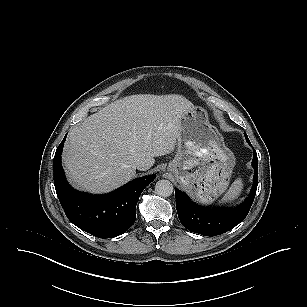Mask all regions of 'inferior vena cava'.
Here are the masks:
<instances>
[{"mask_svg":"<svg viewBox=\"0 0 307 307\" xmlns=\"http://www.w3.org/2000/svg\"><path fill=\"white\" fill-rule=\"evenodd\" d=\"M134 167L139 170H147L149 167L144 161H136Z\"/></svg>","mask_w":307,"mask_h":307,"instance_id":"1","label":"inferior vena cava"}]
</instances>
